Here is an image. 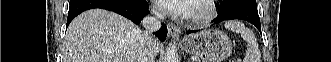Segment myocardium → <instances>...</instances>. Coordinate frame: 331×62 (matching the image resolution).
Listing matches in <instances>:
<instances>
[{
  "label": "myocardium",
  "mask_w": 331,
  "mask_h": 62,
  "mask_svg": "<svg viewBox=\"0 0 331 62\" xmlns=\"http://www.w3.org/2000/svg\"><path fill=\"white\" fill-rule=\"evenodd\" d=\"M195 4L198 6V11L189 17L191 25H205L216 17L217 9L214 1L198 0Z\"/></svg>",
  "instance_id": "f54148a6"
}]
</instances>
